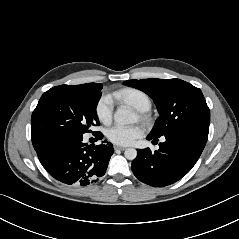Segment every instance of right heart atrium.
<instances>
[{
    "instance_id": "obj_1",
    "label": "right heart atrium",
    "mask_w": 239,
    "mask_h": 239,
    "mask_svg": "<svg viewBox=\"0 0 239 239\" xmlns=\"http://www.w3.org/2000/svg\"><path fill=\"white\" fill-rule=\"evenodd\" d=\"M113 103L109 96H102L96 105V115L98 119L108 124L112 119Z\"/></svg>"
}]
</instances>
